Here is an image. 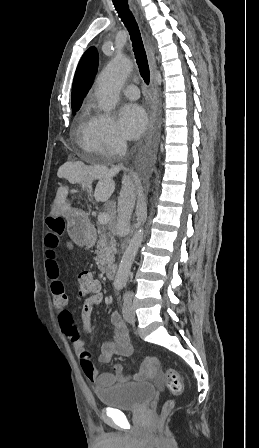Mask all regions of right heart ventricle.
Listing matches in <instances>:
<instances>
[{
	"mask_svg": "<svg viewBox=\"0 0 259 448\" xmlns=\"http://www.w3.org/2000/svg\"><path fill=\"white\" fill-rule=\"evenodd\" d=\"M99 114L95 111L93 104L87 100L82 105V108L76 118L75 126L80 136L81 144L84 148L93 151V135L98 120ZM87 156V163H98L101 161L95 154Z\"/></svg>",
	"mask_w": 259,
	"mask_h": 448,
	"instance_id": "right-heart-ventricle-1",
	"label": "right heart ventricle"
}]
</instances>
